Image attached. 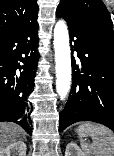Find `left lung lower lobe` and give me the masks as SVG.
Returning <instances> with one entry per match:
<instances>
[{
    "instance_id": "obj_1",
    "label": "left lung lower lobe",
    "mask_w": 114,
    "mask_h": 156,
    "mask_svg": "<svg viewBox=\"0 0 114 156\" xmlns=\"http://www.w3.org/2000/svg\"><path fill=\"white\" fill-rule=\"evenodd\" d=\"M69 27L72 51L80 63L72 59L73 80L68 101L60 112L59 127L64 130L79 121H93L114 132V43L68 19L57 9Z\"/></svg>"
}]
</instances>
